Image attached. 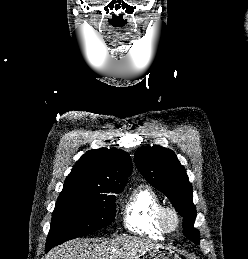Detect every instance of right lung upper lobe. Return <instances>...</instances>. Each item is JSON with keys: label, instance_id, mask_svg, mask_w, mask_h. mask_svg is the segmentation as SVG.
<instances>
[{"label": "right lung upper lobe", "instance_id": "cb5924a9", "mask_svg": "<svg viewBox=\"0 0 248 259\" xmlns=\"http://www.w3.org/2000/svg\"><path fill=\"white\" fill-rule=\"evenodd\" d=\"M132 167L129 154L122 150H90L76 162L64 188L124 189Z\"/></svg>", "mask_w": 248, "mask_h": 259}]
</instances>
